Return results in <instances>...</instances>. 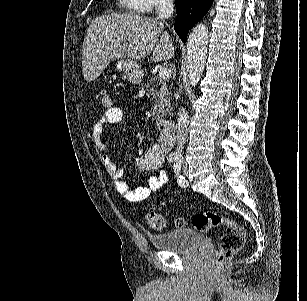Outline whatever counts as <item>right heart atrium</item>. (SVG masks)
<instances>
[{
	"mask_svg": "<svg viewBox=\"0 0 307 301\" xmlns=\"http://www.w3.org/2000/svg\"><path fill=\"white\" fill-rule=\"evenodd\" d=\"M134 11H157L162 7V0H134Z\"/></svg>",
	"mask_w": 307,
	"mask_h": 301,
	"instance_id": "d8ad5b80",
	"label": "right heart atrium"
}]
</instances>
